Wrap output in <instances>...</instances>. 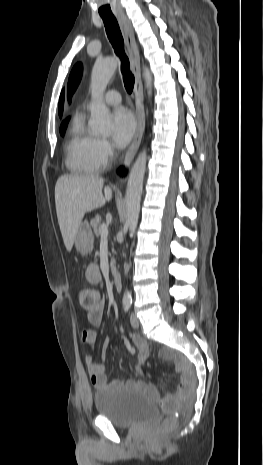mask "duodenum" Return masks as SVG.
<instances>
[{
	"mask_svg": "<svg viewBox=\"0 0 263 465\" xmlns=\"http://www.w3.org/2000/svg\"><path fill=\"white\" fill-rule=\"evenodd\" d=\"M113 284L116 288V290H121L122 287V282H121V275L119 272H114L113 273Z\"/></svg>",
	"mask_w": 263,
	"mask_h": 465,
	"instance_id": "duodenum-1",
	"label": "duodenum"
}]
</instances>
